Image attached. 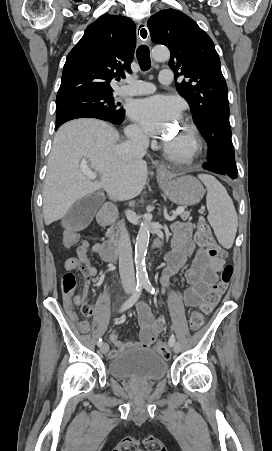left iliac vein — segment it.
<instances>
[{
    "label": "left iliac vein",
    "instance_id": "1",
    "mask_svg": "<svg viewBox=\"0 0 272 451\" xmlns=\"http://www.w3.org/2000/svg\"><path fill=\"white\" fill-rule=\"evenodd\" d=\"M174 351L175 352H179L180 351V345L179 344H175Z\"/></svg>",
    "mask_w": 272,
    "mask_h": 451
}]
</instances>
